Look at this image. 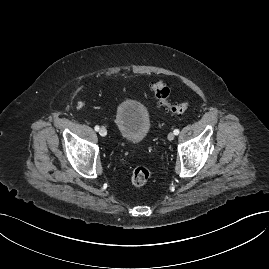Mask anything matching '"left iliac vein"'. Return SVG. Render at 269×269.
Returning <instances> with one entry per match:
<instances>
[{"instance_id": "left-iliac-vein-1", "label": "left iliac vein", "mask_w": 269, "mask_h": 269, "mask_svg": "<svg viewBox=\"0 0 269 269\" xmlns=\"http://www.w3.org/2000/svg\"><path fill=\"white\" fill-rule=\"evenodd\" d=\"M169 141H172L175 138V134L173 132H170L167 136Z\"/></svg>"}]
</instances>
